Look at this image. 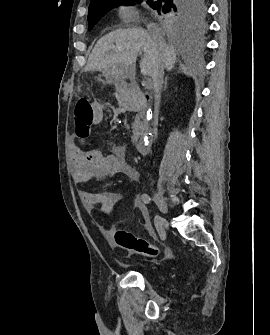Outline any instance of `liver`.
Returning <instances> with one entry per match:
<instances>
[{
    "instance_id": "1",
    "label": "liver",
    "mask_w": 270,
    "mask_h": 335,
    "mask_svg": "<svg viewBox=\"0 0 270 335\" xmlns=\"http://www.w3.org/2000/svg\"><path fill=\"white\" fill-rule=\"evenodd\" d=\"M139 52H144L140 62L143 76H153L157 70L174 68L175 50L165 40L153 42L143 28H119L98 40L88 58L85 72H101L115 66V70L120 72V78H130L135 74Z\"/></svg>"
}]
</instances>
